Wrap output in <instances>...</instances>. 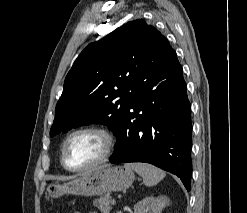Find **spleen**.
Returning <instances> with one entry per match:
<instances>
[{
  "label": "spleen",
  "instance_id": "obj_1",
  "mask_svg": "<svg viewBox=\"0 0 247 213\" xmlns=\"http://www.w3.org/2000/svg\"><path fill=\"white\" fill-rule=\"evenodd\" d=\"M129 170H134L143 177V182L147 186H154L165 176V172L151 164L147 163H127L124 165Z\"/></svg>",
  "mask_w": 247,
  "mask_h": 213
}]
</instances>
